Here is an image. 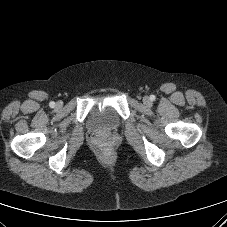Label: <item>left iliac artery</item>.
<instances>
[{
    "mask_svg": "<svg viewBox=\"0 0 227 227\" xmlns=\"http://www.w3.org/2000/svg\"><path fill=\"white\" fill-rule=\"evenodd\" d=\"M155 98H156L155 95H151V96H150V100H151V101H154Z\"/></svg>",
    "mask_w": 227,
    "mask_h": 227,
    "instance_id": "obj_1",
    "label": "left iliac artery"
}]
</instances>
